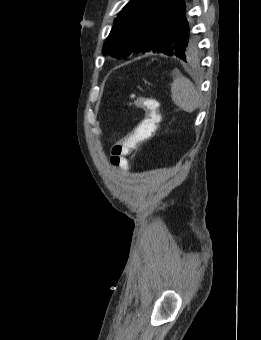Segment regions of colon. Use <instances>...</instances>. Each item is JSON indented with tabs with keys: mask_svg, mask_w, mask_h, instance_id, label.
I'll return each instance as SVG.
<instances>
[{
	"mask_svg": "<svg viewBox=\"0 0 261 340\" xmlns=\"http://www.w3.org/2000/svg\"><path fill=\"white\" fill-rule=\"evenodd\" d=\"M129 104L144 111V118L123 138L118 140L111 150V162L115 166L125 165V156L134 151L142 142L155 132L160 120V102L153 97L130 95Z\"/></svg>",
	"mask_w": 261,
	"mask_h": 340,
	"instance_id": "1",
	"label": "colon"
}]
</instances>
